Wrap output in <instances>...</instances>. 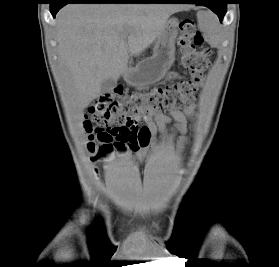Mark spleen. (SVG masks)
Instances as JSON below:
<instances>
[{"label":"spleen","mask_w":279,"mask_h":267,"mask_svg":"<svg viewBox=\"0 0 279 267\" xmlns=\"http://www.w3.org/2000/svg\"><path fill=\"white\" fill-rule=\"evenodd\" d=\"M199 26L204 32L205 37L213 46H217L220 41L219 25L216 17L211 12H201L198 15Z\"/></svg>","instance_id":"spleen-1"}]
</instances>
